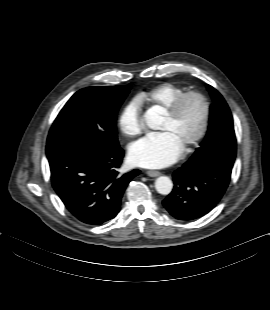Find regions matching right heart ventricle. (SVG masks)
Here are the masks:
<instances>
[{
	"instance_id": "e07e8e85",
	"label": "right heart ventricle",
	"mask_w": 270,
	"mask_h": 310,
	"mask_svg": "<svg viewBox=\"0 0 270 310\" xmlns=\"http://www.w3.org/2000/svg\"><path fill=\"white\" fill-rule=\"evenodd\" d=\"M183 92H185L183 87L166 82L141 92L138 95V100L149 107L165 111L172 101Z\"/></svg>"
}]
</instances>
